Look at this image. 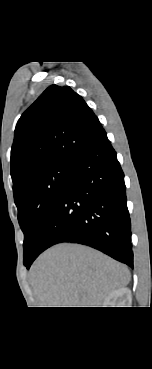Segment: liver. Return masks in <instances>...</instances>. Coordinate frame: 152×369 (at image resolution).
<instances>
[{"label":"liver","mask_w":152,"mask_h":369,"mask_svg":"<svg viewBox=\"0 0 152 369\" xmlns=\"http://www.w3.org/2000/svg\"><path fill=\"white\" fill-rule=\"evenodd\" d=\"M130 277L126 266L103 253L67 243L45 251L30 270L41 307H99Z\"/></svg>","instance_id":"6515ba94"}]
</instances>
